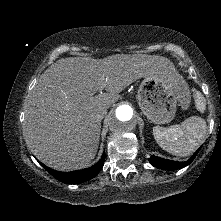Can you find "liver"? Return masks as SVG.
<instances>
[{"label":"liver","instance_id":"6515ba94","mask_svg":"<svg viewBox=\"0 0 221 221\" xmlns=\"http://www.w3.org/2000/svg\"><path fill=\"white\" fill-rule=\"evenodd\" d=\"M174 71L169 59L146 54L57 60L40 76L25 101L27 146L55 170L88 167L99 145L101 120L97 113L110 108L134 81ZM101 86L106 93L95 95Z\"/></svg>","mask_w":221,"mask_h":221}]
</instances>
